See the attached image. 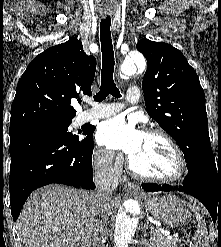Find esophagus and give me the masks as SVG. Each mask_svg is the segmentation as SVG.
Here are the masks:
<instances>
[{
    "label": "esophagus",
    "mask_w": 221,
    "mask_h": 247,
    "mask_svg": "<svg viewBox=\"0 0 221 247\" xmlns=\"http://www.w3.org/2000/svg\"><path fill=\"white\" fill-rule=\"evenodd\" d=\"M125 190L129 191V192H139L140 188H139V186L137 184L128 182L125 185Z\"/></svg>",
    "instance_id": "esophagus-1"
}]
</instances>
